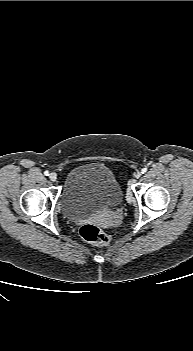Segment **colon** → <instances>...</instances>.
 <instances>
[{
  "label": "colon",
  "instance_id": "5ec220e1",
  "mask_svg": "<svg viewBox=\"0 0 193 351\" xmlns=\"http://www.w3.org/2000/svg\"><path fill=\"white\" fill-rule=\"evenodd\" d=\"M80 235L84 240L95 245H107L109 241L103 230L93 223L83 225L80 229Z\"/></svg>",
  "mask_w": 193,
  "mask_h": 351
}]
</instances>
